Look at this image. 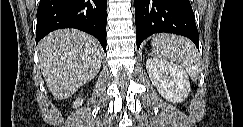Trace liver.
<instances>
[{"label": "liver", "instance_id": "1", "mask_svg": "<svg viewBox=\"0 0 243 127\" xmlns=\"http://www.w3.org/2000/svg\"><path fill=\"white\" fill-rule=\"evenodd\" d=\"M38 50L47 87L59 100L72 96L101 67L102 49L98 41L79 30L51 32L40 41Z\"/></svg>", "mask_w": 243, "mask_h": 127}]
</instances>
